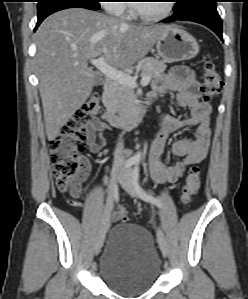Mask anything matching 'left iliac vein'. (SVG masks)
Returning a JSON list of instances; mask_svg holds the SVG:
<instances>
[{
    "instance_id": "obj_1",
    "label": "left iliac vein",
    "mask_w": 248,
    "mask_h": 299,
    "mask_svg": "<svg viewBox=\"0 0 248 299\" xmlns=\"http://www.w3.org/2000/svg\"><path fill=\"white\" fill-rule=\"evenodd\" d=\"M131 174L132 172L130 169L125 170L119 177V183L130 196L137 197V192L134 188ZM157 240L163 256L167 257V240L165 238L164 233L161 230L157 233Z\"/></svg>"
}]
</instances>
